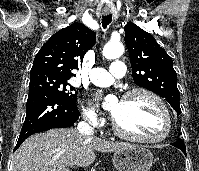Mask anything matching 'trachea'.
Masks as SVG:
<instances>
[{
    "mask_svg": "<svg viewBox=\"0 0 199 171\" xmlns=\"http://www.w3.org/2000/svg\"><path fill=\"white\" fill-rule=\"evenodd\" d=\"M112 21V15H104L102 18V26L105 29Z\"/></svg>",
    "mask_w": 199,
    "mask_h": 171,
    "instance_id": "1",
    "label": "trachea"
}]
</instances>
